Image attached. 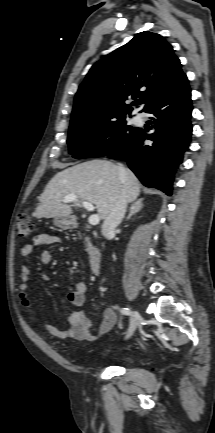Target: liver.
Returning a JSON list of instances; mask_svg holds the SVG:
<instances>
[{"label":"liver","instance_id":"1","mask_svg":"<svg viewBox=\"0 0 215 433\" xmlns=\"http://www.w3.org/2000/svg\"><path fill=\"white\" fill-rule=\"evenodd\" d=\"M122 191L128 202L138 197L139 181L132 171L125 169L121 176L118 165L107 160H90L57 173L46 185L33 216H71V206L62 202L65 196L74 194L79 199L76 207L81 200L90 202L96 206L99 217L105 219Z\"/></svg>","mask_w":215,"mask_h":433}]
</instances>
